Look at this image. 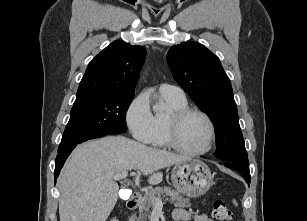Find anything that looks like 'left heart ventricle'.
Segmentation results:
<instances>
[{
  "label": "left heart ventricle",
  "instance_id": "left-heart-ventricle-1",
  "mask_svg": "<svg viewBox=\"0 0 307 221\" xmlns=\"http://www.w3.org/2000/svg\"><path fill=\"white\" fill-rule=\"evenodd\" d=\"M209 140V127L203 117L191 114L184 119L178 134L179 144L190 151L203 150Z\"/></svg>",
  "mask_w": 307,
  "mask_h": 221
}]
</instances>
